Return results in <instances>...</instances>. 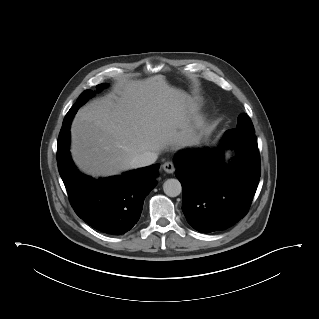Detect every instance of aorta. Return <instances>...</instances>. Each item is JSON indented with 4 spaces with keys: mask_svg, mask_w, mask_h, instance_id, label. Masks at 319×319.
Segmentation results:
<instances>
[{
    "mask_svg": "<svg viewBox=\"0 0 319 319\" xmlns=\"http://www.w3.org/2000/svg\"><path fill=\"white\" fill-rule=\"evenodd\" d=\"M164 193L169 197H176L182 192V186L177 179H167L163 184Z\"/></svg>",
    "mask_w": 319,
    "mask_h": 319,
    "instance_id": "aorta-1",
    "label": "aorta"
}]
</instances>
